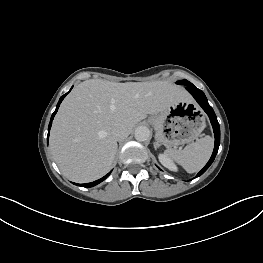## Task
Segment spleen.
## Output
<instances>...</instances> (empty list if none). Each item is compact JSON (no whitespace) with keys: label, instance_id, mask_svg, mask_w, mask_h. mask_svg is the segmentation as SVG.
Wrapping results in <instances>:
<instances>
[{"label":"spleen","instance_id":"spleen-1","mask_svg":"<svg viewBox=\"0 0 263 263\" xmlns=\"http://www.w3.org/2000/svg\"><path fill=\"white\" fill-rule=\"evenodd\" d=\"M213 150V139L205 136L183 150L169 149L166 154L180 164L188 173L201 170L208 162Z\"/></svg>","mask_w":263,"mask_h":263}]
</instances>
